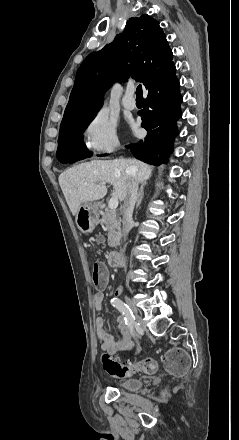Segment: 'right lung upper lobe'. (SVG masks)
Masks as SVG:
<instances>
[{
    "label": "right lung upper lobe",
    "mask_w": 239,
    "mask_h": 440,
    "mask_svg": "<svg viewBox=\"0 0 239 440\" xmlns=\"http://www.w3.org/2000/svg\"><path fill=\"white\" fill-rule=\"evenodd\" d=\"M172 57L158 21L147 14L130 18L122 34L81 64L61 123L98 111L115 80L132 77L147 85L173 65Z\"/></svg>",
    "instance_id": "obj_1"
}]
</instances>
